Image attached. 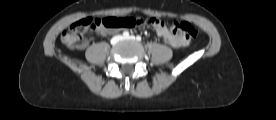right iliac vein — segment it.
<instances>
[{
  "mask_svg": "<svg viewBox=\"0 0 276 120\" xmlns=\"http://www.w3.org/2000/svg\"><path fill=\"white\" fill-rule=\"evenodd\" d=\"M122 38L120 36H116L112 39V43H117L118 41H120Z\"/></svg>",
  "mask_w": 276,
  "mask_h": 120,
  "instance_id": "63e3f726",
  "label": "right iliac vein"
}]
</instances>
